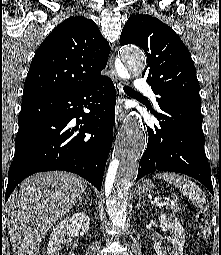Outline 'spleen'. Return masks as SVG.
I'll list each match as a JSON object with an SVG mask.
<instances>
[{
  "label": "spleen",
  "mask_w": 221,
  "mask_h": 255,
  "mask_svg": "<svg viewBox=\"0 0 221 255\" xmlns=\"http://www.w3.org/2000/svg\"><path fill=\"white\" fill-rule=\"evenodd\" d=\"M155 177L162 178L168 183L179 188L182 194L188 197L195 206L202 207L206 202V196L202 190L194 182L184 176L175 173H162L157 174Z\"/></svg>",
  "instance_id": "obj_1"
}]
</instances>
